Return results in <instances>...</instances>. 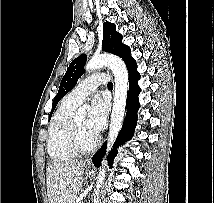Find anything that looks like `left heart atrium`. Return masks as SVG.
I'll return each mask as SVG.
<instances>
[{
    "instance_id": "1",
    "label": "left heart atrium",
    "mask_w": 214,
    "mask_h": 203,
    "mask_svg": "<svg viewBox=\"0 0 214 203\" xmlns=\"http://www.w3.org/2000/svg\"><path fill=\"white\" fill-rule=\"evenodd\" d=\"M107 103L96 95L92 100L88 117L86 120L87 129L93 134L99 133L106 124Z\"/></svg>"
}]
</instances>
